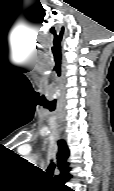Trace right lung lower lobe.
<instances>
[{"label":"right lung lower lobe","mask_w":114,"mask_h":191,"mask_svg":"<svg viewBox=\"0 0 114 191\" xmlns=\"http://www.w3.org/2000/svg\"><path fill=\"white\" fill-rule=\"evenodd\" d=\"M70 178H71V175L68 173L65 176H63L62 178L57 179V181L60 184V190H62V191H72V189H70L69 187L64 185V183L66 181H68Z\"/></svg>","instance_id":"right-lung-lower-lobe-1"}]
</instances>
